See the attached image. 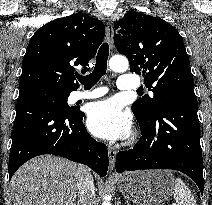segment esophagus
Instances as JSON below:
<instances>
[{
	"mask_svg": "<svg viewBox=\"0 0 212 205\" xmlns=\"http://www.w3.org/2000/svg\"><path fill=\"white\" fill-rule=\"evenodd\" d=\"M114 37V23L112 19H109L106 26V39L110 47H113ZM109 155V170L113 171L116 160V150L113 147L108 148Z\"/></svg>",
	"mask_w": 212,
	"mask_h": 205,
	"instance_id": "1",
	"label": "esophagus"
}]
</instances>
